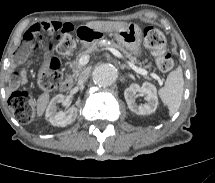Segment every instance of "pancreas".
Listing matches in <instances>:
<instances>
[{
	"instance_id": "1",
	"label": "pancreas",
	"mask_w": 215,
	"mask_h": 183,
	"mask_svg": "<svg viewBox=\"0 0 215 183\" xmlns=\"http://www.w3.org/2000/svg\"><path fill=\"white\" fill-rule=\"evenodd\" d=\"M99 46H110L112 48L118 49L123 54H125L126 57L130 58L132 62L136 61V59L133 58L131 56V54L126 49L123 48V46H121L119 44H116L114 42H112V43L109 44L108 42L99 41V42L93 43L86 50H84V51L80 52L79 54H77L75 60L72 61V63H71V69H72V75H71V77L72 78H74V79L78 78L80 72L85 68L83 65H81L79 63L80 58L82 56H84V55H89V54L93 53L95 50H97V48Z\"/></svg>"
}]
</instances>
